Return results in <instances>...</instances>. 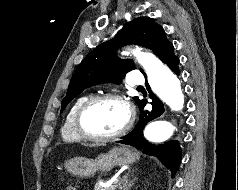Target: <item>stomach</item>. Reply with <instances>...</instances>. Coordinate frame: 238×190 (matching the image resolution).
<instances>
[{
    "label": "stomach",
    "instance_id": "1",
    "mask_svg": "<svg viewBox=\"0 0 238 190\" xmlns=\"http://www.w3.org/2000/svg\"><path fill=\"white\" fill-rule=\"evenodd\" d=\"M139 155L127 147H114L108 153L100 154L95 160L75 157L66 162L67 170L78 177H92L97 171L107 173L116 166L134 163Z\"/></svg>",
    "mask_w": 238,
    "mask_h": 190
}]
</instances>
